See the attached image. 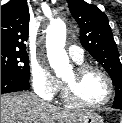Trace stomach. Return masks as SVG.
<instances>
[{"instance_id":"0dacf381","label":"stomach","mask_w":122,"mask_h":123,"mask_svg":"<svg viewBox=\"0 0 122 123\" xmlns=\"http://www.w3.org/2000/svg\"><path fill=\"white\" fill-rule=\"evenodd\" d=\"M76 123H104L101 116L92 111H87L84 118Z\"/></svg>"}]
</instances>
